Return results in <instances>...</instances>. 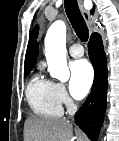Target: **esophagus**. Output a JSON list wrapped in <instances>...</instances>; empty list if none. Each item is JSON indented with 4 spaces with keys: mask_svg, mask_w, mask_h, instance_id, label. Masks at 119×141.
<instances>
[{
    "mask_svg": "<svg viewBox=\"0 0 119 141\" xmlns=\"http://www.w3.org/2000/svg\"><path fill=\"white\" fill-rule=\"evenodd\" d=\"M78 4H79V8H80V12H81L82 16L84 17L85 21L90 26V33H92V31H93V29H92V17L90 16L89 12L84 8L82 0H78Z\"/></svg>",
    "mask_w": 119,
    "mask_h": 141,
    "instance_id": "34e87169",
    "label": "esophagus"
}]
</instances>
